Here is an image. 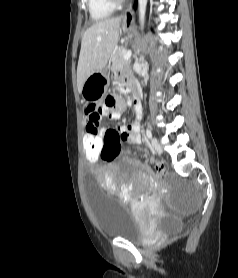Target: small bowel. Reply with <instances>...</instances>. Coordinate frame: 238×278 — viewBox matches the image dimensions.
Returning <instances> with one entry per match:
<instances>
[{"label":"small bowel","instance_id":"c3829d8e","mask_svg":"<svg viewBox=\"0 0 238 278\" xmlns=\"http://www.w3.org/2000/svg\"><path fill=\"white\" fill-rule=\"evenodd\" d=\"M118 79L122 82L127 81L124 76L119 75ZM125 110V104L118 100H105L104 104H90L86 109L88 121L86 124L85 137H105L104 144H111L116 141L131 144H140V124L138 122L141 113L135 111V120L127 125L120 126L118 130L106 129L101 127V122L105 117L118 119ZM95 163V162H90ZM145 166L144 163H141Z\"/></svg>","mask_w":238,"mask_h":278}]
</instances>
